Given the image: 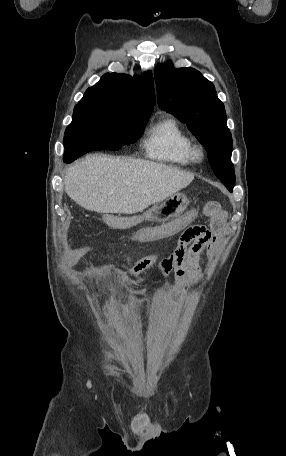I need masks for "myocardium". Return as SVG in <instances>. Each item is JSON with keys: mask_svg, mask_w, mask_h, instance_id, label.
<instances>
[{"mask_svg": "<svg viewBox=\"0 0 286 456\" xmlns=\"http://www.w3.org/2000/svg\"><path fill=\"white\" fill-rule=\"evenodd\" d=\"M190 160L193 162H201L205 157V150L202 144L192 143L189 150Z\"/></svg>", "mask_w": 286, "mask_h": 456, "instance_id": "obj_1", "label": "myocardium"}]
</instances>
